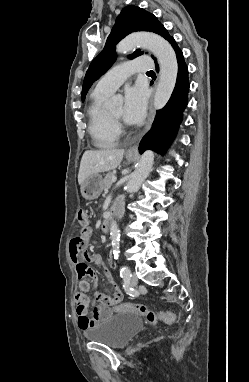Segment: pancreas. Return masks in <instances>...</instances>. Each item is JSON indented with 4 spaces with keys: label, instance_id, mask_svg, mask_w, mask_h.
Masks as SVG:
<instances>
[{
    "label": "pancreas",
    "instance_id": "1",
    "mask_svg": "<svg viewBox=\"0 0 249 382\" xmlns=\"http://www.w3.org/2000/svg\"><path fill=\"white\" fill-rule=\"evenodd\" d=\"M115 176V172H109L107 173V175L104 177V179L102 180V188L103 189H108L111 187L112 185V178Z\"/></svg>",
    "mask_w": 249,
    "mask_h": 382
}]
</instances>
